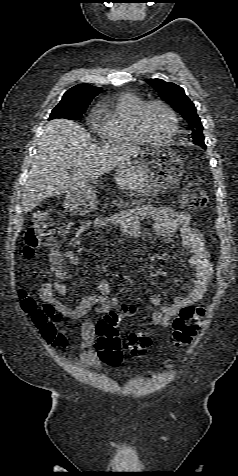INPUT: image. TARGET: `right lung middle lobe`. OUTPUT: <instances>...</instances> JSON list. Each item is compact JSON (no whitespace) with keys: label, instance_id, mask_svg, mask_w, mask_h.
<instances>
[{"label":"right lung middle lobe","instance_id":"1","mask_svg":"<svg viewBox=\"0 0 238 476\" xmlns=\"http://www.w3.org/2000/svg\"><path fill=\"white\" fill-rule=\"evenodd\" d=\"M87 104H79L71 101H63L52 110L49 119L53 118H67L76 119L80 117L87 109Z\"/></svg>","mask_w":238,"mask_h":476}]
</instances>
